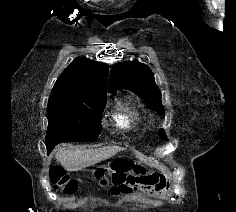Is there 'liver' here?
I'll use <instances>...</instances> for the list:
<instances>
[{
	"label": "liver",
	"instance_id": "6515ba94",
	"mask_svg": "<svg viewBox=\"0 0 236 212\" xmlns=\"http://www.w3.org/2000/svg\"><path fill=\"white\" fill-rule=\"evenodd\" d=\"M123 150L119 146H107L99 149H86L82 146L59 147L56 159L67 171H80L106 160Z\"/></svg>",
	"mask_w": 236,
	"mask_h": 212
}]
</instances>
